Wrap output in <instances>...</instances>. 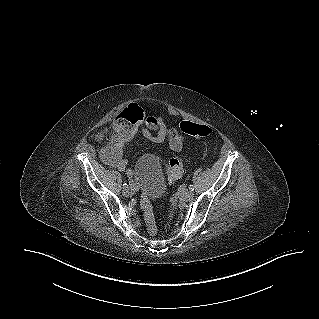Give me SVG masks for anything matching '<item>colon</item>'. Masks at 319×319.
I'll return each mask as SVG.
<instances>
[{"instance_id":"5ec220e1","label":"colon","mask_w":319,"mask_h":319,"mask_svg":"<svg viewBox=\"0 0 319 319\" xmlns=\"http://www.w3.org/2000/svg\"><path fill=\"white\" fill-rule=\"evenodd\" d=\"M186 134V135H181ZM188 136L193 138L208 140L212 136V131L208 125L197 121H190L185 118L176 120L175 125L172 123H163L156 130V139L163 146L171 148H181L187 141ZM161 169L164 171L171 183L180 181L184 175L182 160L178 156L170 158H160ZM143 211L144 221L147 231L151 235L157 232V225L154 216V209L146 193H143L140 201Z\"/></svg>"}]
</instances>
